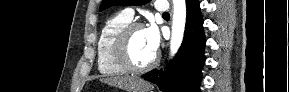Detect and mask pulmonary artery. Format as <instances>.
Instances as JSON below:
<instances>
[{
	"instance_id": "e3ab8cb5",
	"label": "pulmonary artery",
	"mask_w": 289,
	"mask_h": 92,
	"mask_svg": "<svg viewBox=\"0 0 289 92\" xmlns=\"http://www.w3.org/2000/svg\"><path fill=\"white\" fill-rule=\"evenodd\" d=\"M155 8L157 11L161 12V13H165L168 12V5L165 1H156L155 2ZM123 13L130 19L133 18L134 12L132 9L127 8L123 11Z\"/></svg>"
}]
</instances>
